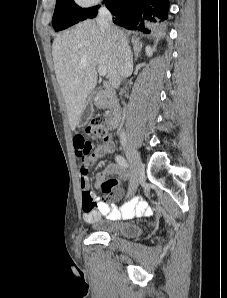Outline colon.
<instances>
[{
    "instance_id": "colon-1",
    "label": "colon",
    "mask_w": 227,
    "mask_h": 298,
    "mask_svg": "<svg viewBox=\"0 0 227 298\" xmlns=\"http://www.w3.org/2000/svg\"><path fill=\"white\" fill-rule=\"evenodd\" d=\"M85 134H87V139H84V142H91V140L108 141L110 137L107 126L100 119H93L86 127ZM117 184L116 179L109 178L102 183V190L109 193Z\"/></svg>"
}]
</instances>
